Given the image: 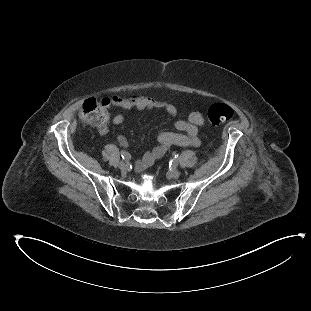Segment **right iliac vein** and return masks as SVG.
Segmentation results:
<instances>
[{
  "label": "right iliac vein",
  "instance_id": "1",
  "mask_svg": "<svg viewBox=\"0 0 311 311\" xmlns=\"http://www.w3.org/2000/svg\"><path fill=\"white\" fill-rule=\"evenodd\" d=\"M119 168H120V170H122V171L126 170V169H127L126 163L123 162V161H121V162L119 163Z\"/></svg>",
  "mask_w": 311,
  "mask_h": 311
}]
</instances>
